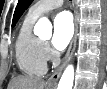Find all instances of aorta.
Wrapping results in <instances>:
<instances>
[{
    "label": "aorta",
    "instance_id": "aorta-1",
    "mask_svg": "<svg viewBox=\"0 0 107 89\" xmlns=\"http://www.w3.org/2000/svg\"><path fill=\"white\" fill-rule=\"evenodd\" d=\"M34 33L39 37L50 38L52 36V24L46 18L38 20L34 27ZM74 81V66L68 65L64 70L58 84V89H72Z\"/></svg>",
    "mask_w": 107,
    "mask_h": 89
}]
</instances>
